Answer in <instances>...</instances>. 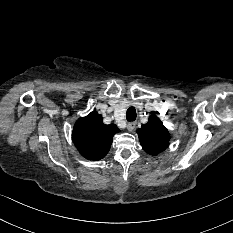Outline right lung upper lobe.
Returning a JSON list of instances; mask_svg holds the SVG:
<instances>
[{
    "mask_svg": "<svg viewBox=\"0 0 233 233\" xmlns=\"http://www.w3.org/2000/svg\"><path fill=\"white\" fill-rule=\"evenodd\" d=\"M119 131L114 124H104L102 116L93 111L77 120L72 139L81 155L89 160H100L110 150L112 138Z\"/></svg>",
    "mask_w": 233,
    "mask_h": 233,
    "instance_id": "cb5924a9",
    "label": "right lung upper lobe"
}]
</instances>
